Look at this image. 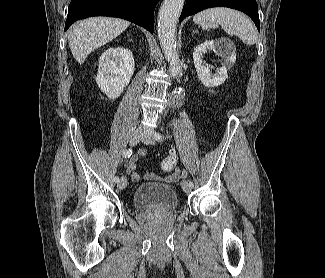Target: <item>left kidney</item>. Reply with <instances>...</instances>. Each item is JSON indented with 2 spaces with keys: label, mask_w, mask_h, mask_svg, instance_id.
<instances>
[{
  "label": "left kidney",
  "mask_w": 325,
  "mask_h": 278,
  "mask_svg": "<svg viewBox=\"0 0 325 278\" xmlns=\"http://www.w3.org/2000/svg\"><path fill=\"white\" fill-rule=\"evenodd\" d=\"M207 51H213L224 60L215 74H211L209 67L204 66L203 53ZM193 60L198 79L207 87H218L228 78L227 72L236 61V53L233 44L226 39L208 40L195 47Z\"/></svg>",
  "instance_id": "5707ae66"
}]
</instances>
